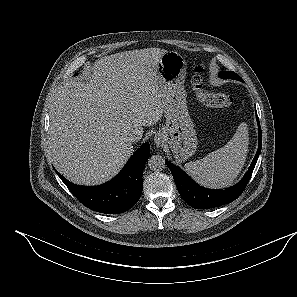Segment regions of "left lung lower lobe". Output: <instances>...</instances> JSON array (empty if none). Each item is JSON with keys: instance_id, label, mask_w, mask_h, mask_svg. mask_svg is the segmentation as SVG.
Returning <instances> with one entry per match:
<instances>
[{"instance_id": "0a47b994", "label": "left lung lower lobe", "mask_w": 297, "mask_h": 297, "mask_svg": "<svg viewBox=\"0 0 297 297\" xmlns=\"http://www.w3.org/2000/svg\"><path fill=\"white\" fill-rule=\"evenodd\" d=\"M257 121L259 143L256 155L244 177L233 187L221 190L203 188L195 183L181 168L166 160V164L173 175L179 194L188 205L196 209H209L228 204L241 195L251 178L252 172L261 152L262 134L258 116Z\"/></svg>"}]
</instances>
